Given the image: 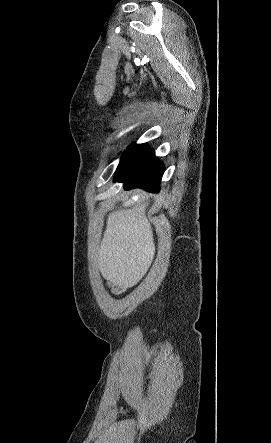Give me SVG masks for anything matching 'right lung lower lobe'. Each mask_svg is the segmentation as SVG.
<instances>
[{
  "instance_id": "98d812e1",
  "label": "right lung lower lobe",
  "mask_w": 271,
  "mask_h": 443,
  "mask_svg": "<svg viewBox=\"0 0 271 443\" xmlns=\"http://www.w3.org/2000/svg\"><path fill=\"white\" fill-rule=\"evenodd\" d=\"M164 172V166L146 144L131 145L122 156L114 182H123L124 188H145L155 192Z\"/></svg>"
}]
</instances>
